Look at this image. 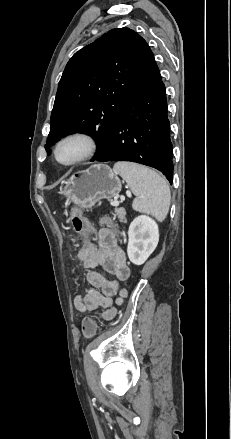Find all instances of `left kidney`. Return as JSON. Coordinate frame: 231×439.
<instances>
[{
    "label": "left kidney",
    "mask_w": 231,
    "mask_h": 439,
    "mask_svg": "<svg viewBox=\"0 0 231 439\" xmlns=\"http://www.w3.org/2000/svg\"><path fill=\"white\" fill-rule=\"evenodd\" d=\"M128 237V258L133 264L142 265L158 245V225L149 216L140 215L131 222Z\"/></svg>",
    "instance_id": "5707ae66"
}]
</instances>
